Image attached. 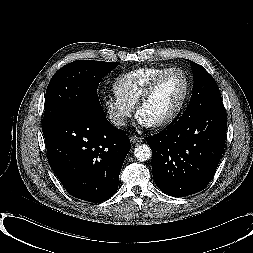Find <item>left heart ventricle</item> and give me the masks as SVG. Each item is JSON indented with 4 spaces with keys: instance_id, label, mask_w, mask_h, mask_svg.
Masks as SVG:
<instances>
[{
    "instance_id": "obj_1",
    "label": "left heart ventricle",
    "mask_w": 253,
    "mask_h": 253,
    "mask_svg": "<svg viewBox=\"0 0 253 253\" xmlns=\"http://www.w3.org/2000/svg\"><path fill=\"white\" fill-rule=\"evenodd\" d=\"M184 93V80L180 74L166 76L139 115L152 124L170 115L178 106Z\"/></svg>"
}]
</instances>
